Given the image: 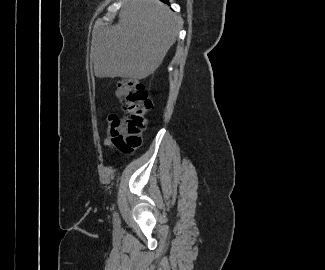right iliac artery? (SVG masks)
Wrapping results in <instances>:
<instances>
[{
    "mask_svg": "<svg viewBox=\"0 0 325 270\" xmlns=\"http://www.w3.org/2000/svg\"><path fill=\"white\" fill-rule=\"evenodd\" d=\"M113 220L115 224H119L120 223V218L117 212L114 213L113 215Z\"/></svg>",
    "mask_w": 325,
    "mask_h": 270,
    "instance_id": "obj_1",
    "label": "right iliac artery"
}]
</instances>
